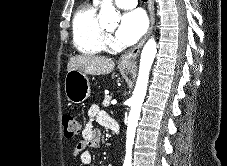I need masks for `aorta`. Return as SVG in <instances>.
<instances>
[{
  "label": "aorta",
  "instance_id": "762f6f07",
  "mask_svg": "<svg viewBox=\"0 0 227 166\" xmlns=\"http://www.w3.org/2000/svg\"><path fill=\"white\" fill-rule=\"evenodd\" d=\"M99 16L101 23H117L119 21V14L113 6L112 0H103ZM156 52V41L154 38H151L147 41L141 53L137 83L131 99L124 166H131L135 131L139 120L142 103L146 95L149 72L154 61Z\"/></svg>",
  "mask_w": 227,
  "mask_h": 166
}]
</instances>
